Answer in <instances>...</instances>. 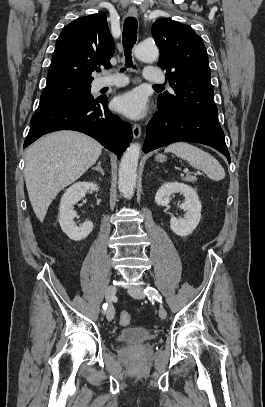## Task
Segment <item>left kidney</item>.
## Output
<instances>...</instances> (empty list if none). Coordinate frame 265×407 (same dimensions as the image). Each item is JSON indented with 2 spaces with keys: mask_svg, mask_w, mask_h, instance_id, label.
Wrapping results in <instances>:
<instances>
[{
  "mask_svg": "<svg viewBox=\"0 0 265 407\" xmlns=\"http://www.w3.org/2000/svg\"><path fill=\"white\" fill-rule=\"evenodd\" d=\"M174 193H181L185 197V202L180 208L186 211L184 218L171 217L170 228L178 236L190 235L198 226L201 219V203L197 192L189 185L179 182H168L163 184L155 195V202L159 206H166L170 201V196Z\"/></svg>",
  "mask_w": 265,
  "mask_h": 407,
  "instance_id": "left-kidney-1",
  "label": "left kidney"
}]
</instances>
